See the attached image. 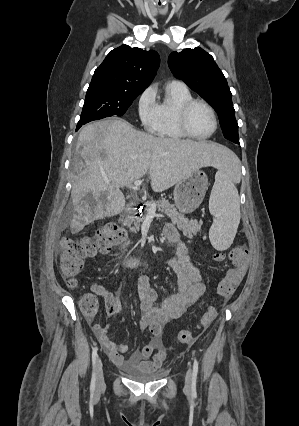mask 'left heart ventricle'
<instances>
[{"label":"left heart ventricle","mask_w":299,"mask_h":426,"mask_svg":"<svg viewBox=\"0 0 299 426\" xmlns=\"http://www.w3.org/2000/svg\"><path fill=\"white\" fill-rule=\"evenodd\" d=\"M188 123L191 131L200 136L211 133L214 128V121L210 111L201 104H197L191 109Z\"/></svg>","instance_id":"1"}]
</instances>
